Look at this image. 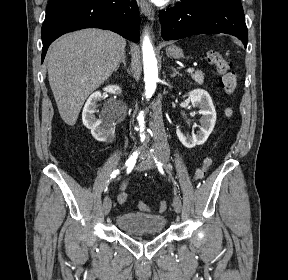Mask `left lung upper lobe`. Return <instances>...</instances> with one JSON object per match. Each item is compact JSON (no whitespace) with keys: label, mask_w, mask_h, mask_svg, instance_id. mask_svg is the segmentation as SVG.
Returning a JSON list of instances; mask_svg holds the SVG:
<instances>
[{"label":"left lung upper lobe","mask_w":288,"mask_h":280,"mask_svg":"<svg viewBox=\"0 0 288 280\" xmlns=\"http://www.w3.org/2000/svg\"><path fill=\"white\" fill-rule=\"evenodd\" d=\"M216 1L222 2L225 4H229V5L237 8L238 10L243 11V7H242L240 0H216Z\"/></svg>","instance_id":"obj_1"}]
</instances>
